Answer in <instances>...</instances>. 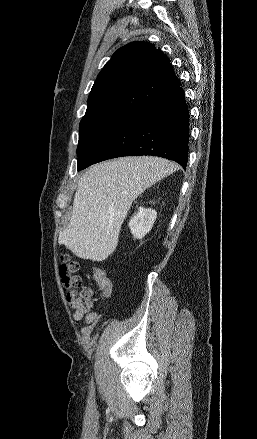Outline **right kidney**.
<instances>
[{"mask_svg":"<svg viewBox=\"0 0 257 439\" xmlns=\"http://www.w3.org/2000/svg\"><path fill=\"white\" fill-rule=\"evenodd\" d=\"M156 217L157 212L154 209L139 207L128 224L133 236L137 239L143 238L152 229Z\"/></svg>","mask_w":257,"mask_h":439,"instance_id":"1","label":"right kidney"}]
</instances>
